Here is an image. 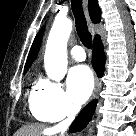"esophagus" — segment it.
Returning a JSON list of instances; mask_svg holds the SVG:
<instances>
[{"label":"esophagus","mask_w":136,"mask_h":136,"mask_svg":"<svg viewBox=\"0 0 136 136\" xmlns=\"http://www.w3.org/2000/svg\"><path fill=\"white\" fill-rule=\"evenodd\" d=\"M82 1H83V9H84L87 23L91 25V19H90V15H89V11H88V0H82ZM100 88H101V82L99 81V79H96L95 90H94L92 99L97 97Z\"/></svg>","instance_id":"obj_1"}]
</instances>
